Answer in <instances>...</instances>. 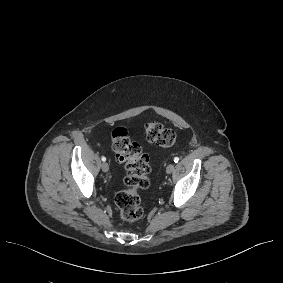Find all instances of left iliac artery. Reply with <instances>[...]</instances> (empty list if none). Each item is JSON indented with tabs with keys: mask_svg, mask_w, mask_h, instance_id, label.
<instances>
[{
	"mask_svg": "<svg viewBox=\"0 0 283 283\" xmlns=\"http://www.w3.org/2000/svg\"><path fill=\"white\" fill-rule=\"evenodd\" d=\"M178 161H179V158H178V157H175V158H174V162H175V163H178Z\"/></svg>",
	"mask_w": 283,
	"mask_h": 283,
	"instance_id": "left-iliac-artery-1",
	"label": "left iliac artery"
}]
</instances>
